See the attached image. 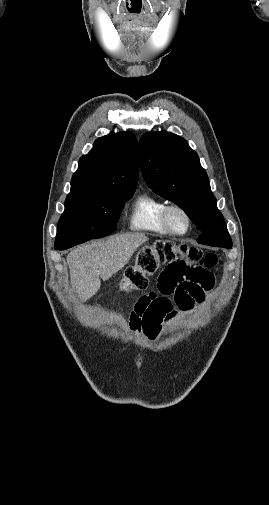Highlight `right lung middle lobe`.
Wrapping results in <instances>:
<instances>
[{
    "instance_id": "1",
    "label": "right lung middle lobe",
    "mask_w": 269,
    "mask_h": 505,
    "mask_svg": "<svg viewBox=\"0 0 269 505\" xmlns=\"http://www.w3.org/2000/svg\"><path fill=\"white\" fill-rule=\"evenodd\" d=\"M133 193L70 192L58 223L55 249L65 250L114 232L124 203Z\"/></svg>"
}]
</instances>
